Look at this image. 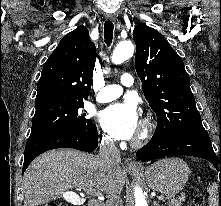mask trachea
Returning a JSON list of instances; mask_svg holds the SVG:
<instances>
[{"instance_id":"obj_1","label":"trachea","mask_w":221,"mask_h":206,"mask_svg":"<svg viewBox=\"0 0 221 206\" xmlns=\"http://www.w3.org/2000/svg\"><path fill=\"white\" fill-rule=\"evenodd\" d=\"M114 25L111 21H106L104 24V39L107 46H110L113 39Z\"/></svg>"}]
</instances>
